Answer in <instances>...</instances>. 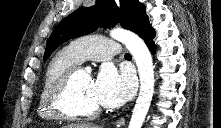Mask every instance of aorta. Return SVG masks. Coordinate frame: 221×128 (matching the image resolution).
<instances>
[{"label": "aorta", "mask_w": 221, "mask_h": 128, "mask_svg": "<svg viewBox=\"0 0 221 128\" xmlns=\"http://www.w3.org/2000/svg\"><path fill=\"white\" fill-rule=\"evenodd\" d=\"M110 36L125 44L138 67L140 92L128 128H141L149 110L154 90L152 56L144 41L133 32L117 28L110 32Z\"/></svg>", "instance_id": "762f6f07"}]
</instances>
